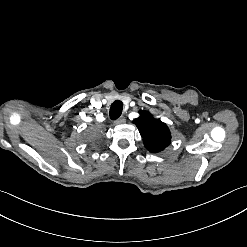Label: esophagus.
Returning a JSON list of instances; mask_svg holds the SVG:
<instances>
[{"instance_id":"34e87169","label":"esophagus","mask_w":247,"mask_h":247,"mask_svg":"<svg viewBox=\"0 0 247 247\" xmlns=\"http://www.w3.org/2000/svg\"><path fill=\"white\" fill-rule=\"evenodd\" d=\"M126 122L125 117H120L115 121V124H124Z\"/></svg>"}]
</instances>
